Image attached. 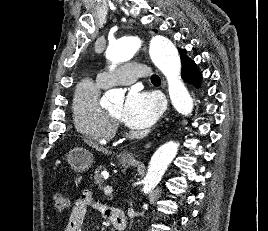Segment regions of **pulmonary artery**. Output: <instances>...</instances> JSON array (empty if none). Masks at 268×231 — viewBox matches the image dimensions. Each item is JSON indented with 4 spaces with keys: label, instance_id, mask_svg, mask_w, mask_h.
<instances>
[{
    "label": "pulmonary artery",
    "instance_id": "1",
    "mask_svg": "<svg viewBox=\"0 0 268 231\" xmlns=\"http://www.w3.org/2000/svg\"><path fill=\"white\" fill-rule=\"evenodd\" d=\"M153 74L149 68L141 62H133L125 66L120 73L111 74L108 72H102L98 74V81L103 86H109L113 84H132L137 78H151Z\"/></svg>",
    "mask_w": 268,
    "mask_h": 231
}]
</instances>
